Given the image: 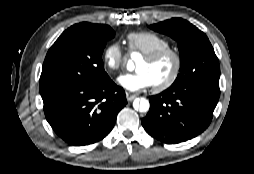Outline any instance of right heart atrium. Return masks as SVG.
Returning <instances> with one entry per match:
<instances>
[{
	"instance_id": "1",
	"label": "right heart atrium",
	"mask_w": 254,
	"mask_h": 174,
	"mask_svg": "<svg viewBox=\"0 0 254 174\" xmlns=\"http://www.w3.org/2000/svg\"><path fill=\"white\" fill-rule=\"evenodd\" d=\"M103 63L111 71L120 70L126 63V55L120 44L116 41L109 43L102 55Z\"/></svg>"
}]
</instances>
